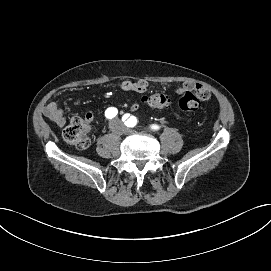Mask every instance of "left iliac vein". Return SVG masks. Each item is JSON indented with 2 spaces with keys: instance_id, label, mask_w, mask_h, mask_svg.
I'll use <instances>...</instances> for the list:
<instances>
[{
  "instance_id": "left-iliac-vein-1",
  "label": "left iliac vein",
  "mask_w": 271,
  "mask_h": 271,
  "mask_svg": "<svg viewBox=\"0 0 271 271\" xmlns=\"http://www.w3.org/2000/svg\"><path fill=\"white\" fill-rule=\"evenodd\" d=\"M128 132H129V133H135V130H133V129H128Z\"/></svg>"
}]
</instances>
